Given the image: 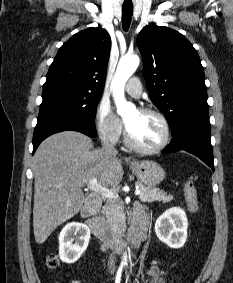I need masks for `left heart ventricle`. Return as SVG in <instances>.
Listing matches in <instances>:
<instances>
[{
    "label": "left heart ventricle",
    "mask_w": 233,
    "mask_h": 283,
    "mask_svg": "<svg viewBox=\"0 0 233 283\" xmlns=\"http://www.w3.org/2000/svg\"><path fill=\"white\" fill-rule=\"evenodd\" d=\"M125 124L134 141L143 147L153 148L163 141L164 127L155 115L133 110L125 116Z\"/></svg>",
    "instance_id": "1"
}]
</instances>
